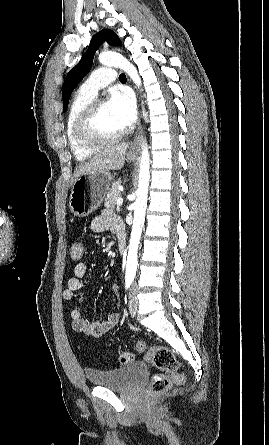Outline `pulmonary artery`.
<instances>
[{
  "mask_svg": "<svg viewBox=\"0 0 269 445\" xmlns=\"http://www.w3.org/2000/svg\"><path fill=\"white\" fill-rule=\"evenodd\" d=\"M117 78L116 71L110 67H100L94 70L85 83L81 86V91L95 96L99 89L114 82Z\"/></svg>",
  "mask_w": 269,
  "mask_h": 445,
  "instance_id": "obj_1",
  "label": "pulmonary artery"
}]
</instances>
